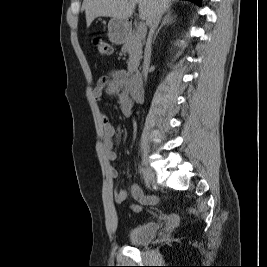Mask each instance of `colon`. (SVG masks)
Wrapping results in <instances>:
<instances>
[{"mask_svg":"<svg viewBox=\"0 0 267 267\" xmlns=\"http://www.w3.org/2000/svg\"><path fill=\"white\" fill-rule=\"evenodd\" d=\"M94 45L100 55H110L112 52L111 45L102 37H96L94 39Z\"/></svg>","mask_w":267,"mask_h":267,"instance_id":"1","label":"colon"}]
</instances>
